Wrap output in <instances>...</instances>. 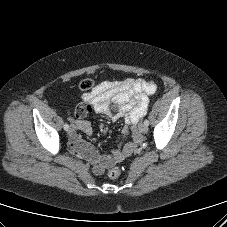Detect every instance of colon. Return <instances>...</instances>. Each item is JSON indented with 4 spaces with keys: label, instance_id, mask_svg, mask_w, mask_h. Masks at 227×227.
I'll return each instance as SVG.
<instances>
[{
    "label": "colon",
    "instance_id": "5ec220e1",
    "mask_svg": "<svg viewBox=\"0 0 227 227\" xmlns=\"http://www.w3.org/2000/svg\"><path fill=\"white\" fill-rule=\"evenodd\" d=\"M78 87L82 91H89L94 87V81L92 79H84L79 83ZM120 173L121 172L118 167H113L109 170L108 176L111 179H117L120 176Z\"/></svg>",
    "mask_w": 227,
    "mask_h": 227
}]
</instances>
